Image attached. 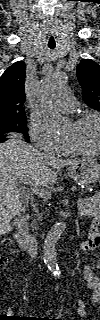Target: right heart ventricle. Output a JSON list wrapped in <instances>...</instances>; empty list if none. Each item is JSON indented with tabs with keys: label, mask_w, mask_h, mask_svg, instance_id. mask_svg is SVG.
<instances>
[{
	"label": "right heart ventricle",
	"mask_w": 100,
	"mask_h": 320,
	"mask_svg": "<svg viewBox=\"0 0 100 320\" xmlns=\"http://www.w3.org/2000/svg\"><path fill=\"white\" fill-rule=\"evenodd\" d=\"M57 153L64 154V155H70L77 153L75 150L70 148L65 141H62L61 145L59 146Z\"/></svg>",
	"instance_id": "e07e8e85"
}]
</instances>
